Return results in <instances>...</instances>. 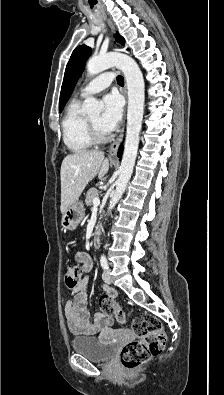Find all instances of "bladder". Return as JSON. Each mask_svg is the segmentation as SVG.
Listing matches in <instances>:
<instances>
[{"instance_id":"obj_1","label":"bladder","mask_w":224,"mask_h":395,"mask_svg":"<svg viewBox=\"0 0 224 395\" xmlns=\"http://www.w3.org/2000/svg\"><path fill=\"white\" fill-rule=\"evenodd\" d=\"M71 345L75 353L84 355L93 362L108 361L115 353L113 341L104 342L101 337H74Z\"/></svg>"}]
</instances>
